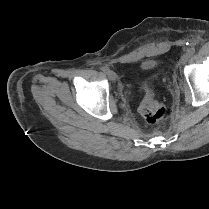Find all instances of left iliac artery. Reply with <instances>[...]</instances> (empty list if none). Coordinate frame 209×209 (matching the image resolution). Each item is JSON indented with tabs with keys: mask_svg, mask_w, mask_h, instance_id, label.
<instances>
[{
	"mask_svg": "<svg viewBox=\"0 0 209 209\" xmlns=\"http://www.w3.org/2000/svg\"><path fill=\"white\" fill-rule=\"evenodd\" d=\"M195 51H196L195 48L191 47V48L188 49V54L193 55L195 53Z\"/></svg>",
	"mask_w": 209,
	"mask_h": 209,
	"instance_id": "44dca946",
	"label": "left iliac artery"
}]
</instances>
